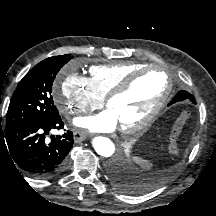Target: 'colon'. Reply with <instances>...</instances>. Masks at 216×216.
Masks as SVG:
<instances>
[{
  "mask_svg": "<svg viewBox=\"0 0 216 216\" xmlns=\"http://www.w3.org/2000/svg\"><path fill=\"white\" fill-rule=\"evenodd\" d=\"M189 112L188 111H183L176 119L174 128L172 131V136H171V142L169 145V151L171 153H176L178 151V139L180 132L183 128V126L186 124V122L189 119Z\"/></svg>",
  "mask_w": 216,
  "mask_h": 216,
  "instance_id": "colon-1",
  "label": "colon"
}]
</instances>
